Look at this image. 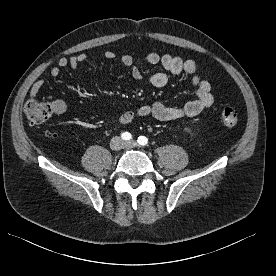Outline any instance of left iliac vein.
I'll use <instances>...</instances> for the list:
<instances>
[{
  "mask_svg": "<svg viewBox=\"0 0 276 276\" xmlns=\"http://www.w3.org/2000/svg\"><path fill=\"white\" fill-rule=\"evenodd\" d=\"M136 146H137V143L134 140H131V141H128V142L124 143V147L127 148V149L135 148Z\"/></svg>",
  "mask_w": 276,
  "mask_h": 276,
  "instance_id": "obj_1",
  "label": "left iliac vein"
}]
</instances>
